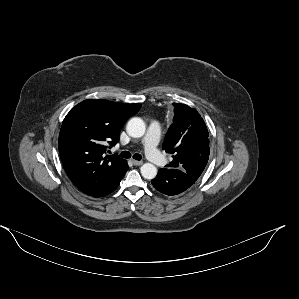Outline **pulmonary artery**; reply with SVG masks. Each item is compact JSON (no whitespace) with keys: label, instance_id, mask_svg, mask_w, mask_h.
I'll return each instance as SVG.
<instances>
[{"label":"pulmonary artery","instance_id":"obj_1","mask_svg":"<svg viewBox=\"0 0 299 299\" xmlns=\"http://www.w3.org/2000/svg\"><path fill=\"white\" fill-rule=\"evenodd\" d=\"M161 135V124L157 121L150 123L143 140L144 151L149 161L156 165H163L166 162L164 156L157 149Z\"/></svg>","mask_w":299,"mask_h":299}]
</instances>
